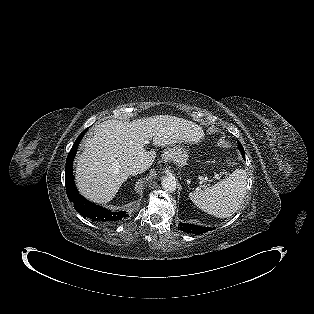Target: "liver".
I'll return each instance as SVG.
<instances>
[{
    "mask_svg": "<svg viewBox=\"0 0 314 314\" xmlns=\"http://www.w3.org/2000/svg\"><path fill=\"white\" fill-rule=\"evenodd\" d=\"M202 135L201 127L192 121L168 115L131 123L104 121L83 142L76 163L77 187L87 199L107 203L128 179L126 169L130 164H139L144 171L152 165L155 151L144 148L150 140L164 147L177 142L196 143Z\"/></svg>",
    "mask_w": 314,
    "mask_h": 314,
    "instance_id": "1",
    "label": "liver"
}]
</instances>
